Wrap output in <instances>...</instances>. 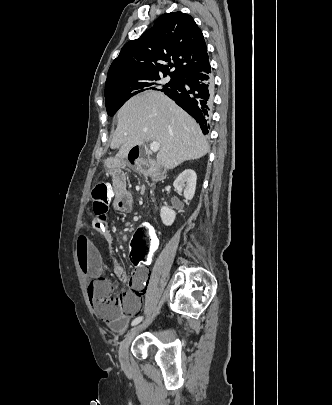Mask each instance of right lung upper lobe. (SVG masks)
Returning <instances> with one entry per match:
<instances>
[{"label": "right lung upper lobe", "instance_id": "1", "mask_svg": "<svg viewBox=\"0 0 332 405\" xmlns=\"http://www.w3.org/2000/svg\"><path fill=\"white\" fill-rule=\"evenodd\" d=\"M208 59L203 34L194 19L180 11L166 13L140 38L123 46L109 68L105 88L133 76L180 77Z\"/></svg>", "mask_w": 332, "mask_h": 405}]
</instances>
